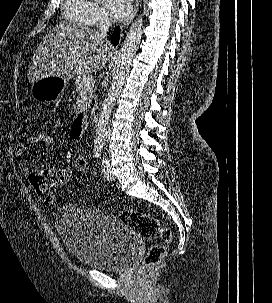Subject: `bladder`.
Wrapping results in <instances>:
<instances>
[{"label": "bladder", "instance_id": "bladder-1", "mask_svg": "<svg viewBox=\"0 0 272 303\" xmlns=\"http://www.w3.org/2000/svg\"><path fill=\"white\" fill-rule=\"evenodd\" d=\"M56 228L69 252L83 265L104 271L126 268L136 256V232L115 215L68 203L58 209Z\"/></svg>", "mask_w": 272, "mask_h": 303}]
</instances>
